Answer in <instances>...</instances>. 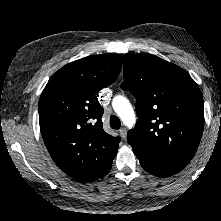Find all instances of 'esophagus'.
Instances as JSON below:
<instances>
[{"label":"esophagus","mask_w":221,"mask_h":221,"mask_svg":"<svg viewBox=\"0 0 221 221\" xmlns=\"http://www.w3.org/2000/svg\"><path fill=\"white\" fill-rule=\"evenodd\" d=\"M119 134L121 136V138L125 139L126 138V128L123 127L119 130Z\"/></svg>","instance_id":"esophagus-1"}]
</instances>
